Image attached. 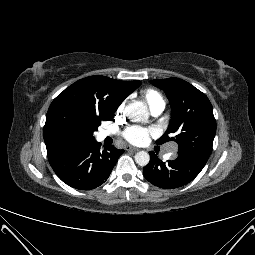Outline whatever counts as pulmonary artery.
Returning a JSON list of instances; mask_svg holds the SVG:
<instances>
[{"mask_svg":"<svg viewBox=\"0 0 255 255\" xmlns=\"http://www.w3.org/2000/svg\"><path fill=\"white\" fill-rule=\"evenodd\" d=\"M164 107L163 106H159V107H156L154 109L151 110L152 114L153 115H159L162 111H163ZM101 135L103 137H106L109 135V132L108 131H103L101 133ZM175 152H176V147L174 145H172L169 149V151L165 154V158L166 159H169V158H172L174 155H175Z\"/></svg>","mask_w":255,"mask_h":255,"instance_id":"e3ab8cb5","label":"pulmonary artery"}]
</instances>
